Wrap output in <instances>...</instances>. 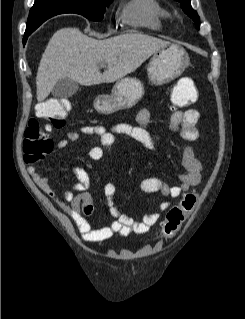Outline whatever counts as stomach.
Masks as SVG:
<instances>
[{
    "mask_svg": "<svg viewBox=\"0 0 245 319\" xmlns=\"http://www.w3.org/2000/svg\"><path fill=\"white\" fill-rule=\"evenodd\" d=\"M186 51L175 44L156 51L148 64L147 73L154 85H163L182 74L189 66ZM144 94L143 83L135 77H127L115 83L110 95H99L94 101L101 114H112L135 106Z\"/></svg>",
    "mask_w": 245,
    "mask_h": 319,
    "instance_id": "stomach-1",
    "label": "stomach"
}]
</instances>
